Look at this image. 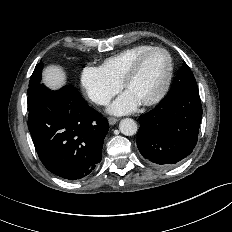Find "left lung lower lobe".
<instances>
[{
    "label": "left lung lower lobe",
    "instance_id": "left-lung-lower-lobe-1",
    "mask_svg": "<svg viewBox=\"0 0 232 232\" xmlns=\"http://www.w3.org/2000/svg\"><path fill=\"white\" fill-rule=\"evenodd\" d=\"M202 118L199 93L172 86L167 96L150 112L139 117L137 146L152 165L170 168L193 151Z\"/></svg>",
    "mask_w": 232,
    "mask_h": 232
}]
</instances>
